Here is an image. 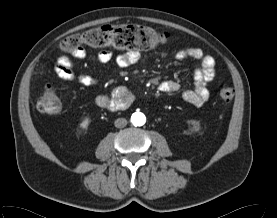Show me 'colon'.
<instances>
[{"instance_id":"obj_1","label":"colon","mask_w":277,"mask_h":218,"mask_svg":"<svg viewBox=\"0 0 277 218\" xmlns=\"http://www.w3.org/2000/svg\"><path fill=\"white\" fill-rule=\"evenodd\" d=\"M168 35L153 28L136 24H107L86 30L63 39L59 48L63 52L74 53L84 46L93 48L113 47L135 51H148L166 43ZM234 88L226 83L218 85V97L230 102L234 97ZM37 109L45 114L55 115L61 112L62 102L53 87H47L41 94Z\"/></svg>"}]
</instances>
